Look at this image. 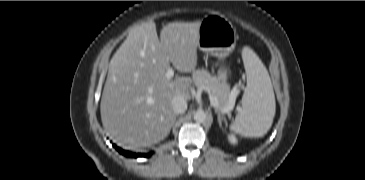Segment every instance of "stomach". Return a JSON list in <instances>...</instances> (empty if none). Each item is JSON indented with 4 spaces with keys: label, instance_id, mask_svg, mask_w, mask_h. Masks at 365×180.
<instances>
[{
    "label": "stomach",
    "instance_id": "1",
    "mask_svg": "<svg viewBox=\"0 0 365 180\" xmlns=\"http://www.w3.org/2000/svg\"><path fill=\"white\" fill-rule=\"evenodd\" d=\"M198 47L219 60L234 50L238 36L236 29L226 18L208 15L200 21ZM218 63H216V66ZM226 71H229L226 69Z\"/></svg>",
    "mask_w": 365,
    "mask_h": 180
}]
</instances>
